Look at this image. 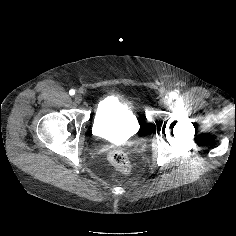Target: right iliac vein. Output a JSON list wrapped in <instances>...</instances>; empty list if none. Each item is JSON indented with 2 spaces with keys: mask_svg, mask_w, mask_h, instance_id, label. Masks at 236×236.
Masks as SVG:
<instances>
[{
  "mask_svg": "<svg viewBox=\"0 0 236 236\" xmlns=\"http://www.w3.org/2000/svg\"><path fill=\"white\" fill-rule=\"evenodd\" d=\"M74 101H75L77 104H80V103L82 102V96H81V94L76 93V95L74 96Z\"/></svg>",
  "mask_w": 236,
  "mask_h": 236,
  "instance_id": "63e3f726",
  "label": "right iliac vein"
}]
</instances>
